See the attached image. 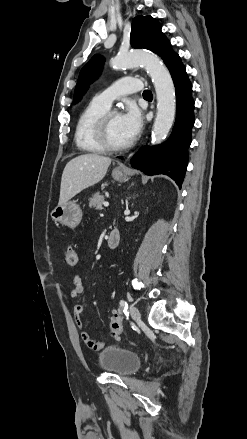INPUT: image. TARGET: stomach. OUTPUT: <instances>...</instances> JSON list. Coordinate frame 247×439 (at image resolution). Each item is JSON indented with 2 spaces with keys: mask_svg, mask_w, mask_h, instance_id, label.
<instances>
[{
  "mask_svg": "<svg viewBox=\"0 0 247 439\" xmlns=\"http://www.w3.org/2000/svg\"><path fill=\"white\" fill-rule=\"evenodd\" d=\"M127 175V170L115 168L112 171V177L117 181H125L127 179ZM51 217L56 222L64 224L70 228H75L82 219V210L75 202L69 201L63 205H58L51 212Z\"/></svg>",
  "mask_w": 247,
  "mask_h": 439,
  "instance_id": "stomach-1",
  "label": "stomach"
}]
</instances>
